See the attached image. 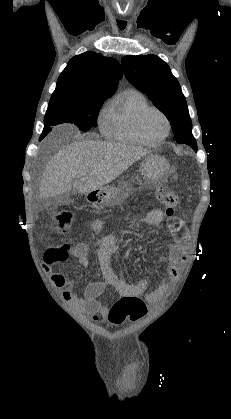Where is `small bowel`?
<instances>
[{
  "label": "small bowel",
  "mask_w": 231,
  "mask_h": 419,
  "mask_svg": "<svg viewBox=\"0 0 231 419\" xmlns=\"http://www.w3.org/2000/svg\"><path fill=\"white\" fill-rule=\"evenodd\" d=\"M164 219V214L159 209L151 210L141 221L142 225L157 226ZM169 227L173 236V241L169 244V254L167 257L168 266L163 281L153 290L147 292L148 281L141 279L136 283H129L120 278L111 265V258L117 247V239L113 235L99 237L96 241L97 258L102 272V280L89 283L82 296L78 295L73 289V282L69 281L63 273H52L51 282L59 289H63V300L75 309L84 313L107 317L109 307L99 301V296L107 286H112L122 297L136 296L142 298L147 306L156 305L169 289L170 283L177 279L180 267L187 259L189 247V236L182 220L174 214L169 216ZM103 222L95 220L92 223V230L98 234ZM89 247L84 243L75 245L72 255L76 262L83 267L89 265ZM51 269V265L46 266ZM147 311V310H146Z\"/></svg>",
  "instance_id": "c3829d8e"
}]
</instances>
